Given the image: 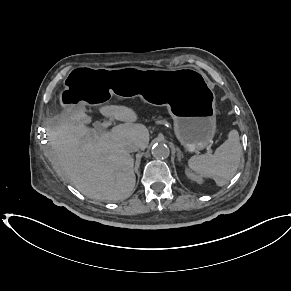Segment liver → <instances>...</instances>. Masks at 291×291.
Wrapping results in <instances>:
<instances>
[{"label":"liver","mask_w":291,"mask_h":291,"mask_svg":"<svg viewBox=\"0 0 291 291\" xmlns=\"http://www.w3.org/2000/svg\"><path fill=\"white\" fill-rule=\"evenodd\" d=\"M99 112L125 123L98 133L86 126L91 117L82 109L62 111L47 133L54 163L89 198L124 200L132 194L136 182L134 159L126 147L136 143L144 150L149 144V132L145 125L134 123L138 116L126 106L106 105Z\"/></svg>","instance_id":"6515ba94"}]
</instances>
